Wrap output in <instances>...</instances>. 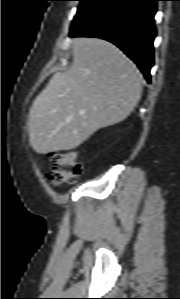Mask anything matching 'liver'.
<instances>
[{
	"label": "liver",
	"mask_w": 180,
	"mask_h": 299,
	"mask_svg": "<svg viewBox=\"0 0 180 299\" xmlns=\"http://www.w3.org/2000/svg\"><path fill=\"white\" fill-rule=\"evenodd\" d=\"M72 55L70 69L55 73L30 108L29 141L39 154L77 148L126 119L140 100V72L113 44L77 38Z\"/></svg>",
	"instance_id": "liver-1"
}]
</instances>
